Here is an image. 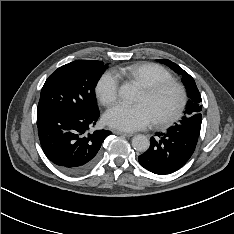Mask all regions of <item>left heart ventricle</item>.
<instances>
[{
    "label": "left heart ventricle",
    "mask_w": 234,
    "mask_h": 234,
    "mask_svg": "<svg viewBox=\"0 0 234 234\" xmlns=\"http://www.w3.org/2000/svg\"><path fill=\"white\" fill-rule=\"evenodd\" d=\"M178 101L177 91L167 89L153 98H147L144 92L141 93L138 103L145 104L154 120L168 115L176 106Z\"/></svg>",
    "instance_id": "1"
}]
</instances>
